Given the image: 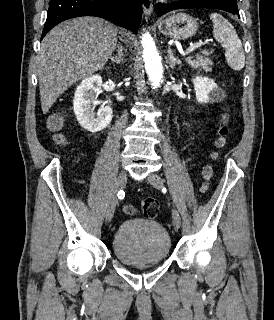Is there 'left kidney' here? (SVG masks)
Returning <instances> with one entry per match:
<instances>
[{
    "label": "left kidney",
    "mask_w": 274,
    "mask_h": 320,
    "mask_svg": "<svg viewBox=\"0 0 274 320\" xmlns=\"http://www.w3.org/2000/svg\"><path fill=\"white\" fill-rule=\"evenodd\" d=\"M196 100L199 104H208V102H219L224 94L221 88H218L214 80L210 78H202V76H195L192 80Z\"/></svg>",
    "instance_id": "left-kidney-1"
}]
</instances>
